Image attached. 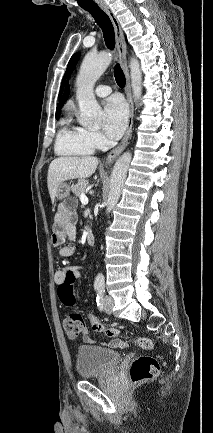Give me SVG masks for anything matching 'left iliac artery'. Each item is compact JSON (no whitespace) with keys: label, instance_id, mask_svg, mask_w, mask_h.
I'll list each match as a JSON object with an SVG mask.
<instances>
[{"label":"left iliac artery","instance_id":"44dca946","mask_svg":"<svg viewBox=\"0 0 213 433\" xmlns=\"http://www.w3.org/2000/svg\"><path fill=\"white\" fill-rule=\"evenodd\" d=\"M104 293H105V290L103 287L98 289L96 301H97V306L99 307L100 310L103 309Z\"/></svg>","mask_w":213,"mask_h":433}]
</instances>
